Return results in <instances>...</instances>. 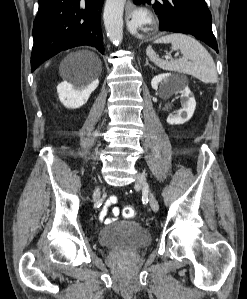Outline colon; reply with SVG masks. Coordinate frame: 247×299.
I'll list each match as a JSON object with an SVG mask.
<instances>
[{
  "label": "colon",
  "mask_w": 247,
  "mask_h": 299,
  "mask_svg": "<svg viewBox=\"0 0 247 299\" xmlns=\"http://www.w3.org/2000/svg\"><path fill=\"white\" fill-rule=\"evenodd\" d=\"M122 214L125 218H133L136 215V210L131 206H126L123 208Z\"/></svg>",
  "instance_id": "obj_1"
}]
</instances>
